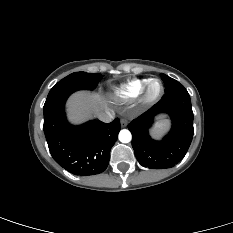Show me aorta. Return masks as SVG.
<instances>
[{
	"mask_svg": "<svg viewBox=\"0 0 233 233\" xmlns=\"http://www.w3.org/2000/svg\"><path fill=\"white\" fill-rule=\"evenodd\" d=\"M120 142L122 143H129L132 139V135L131 132L127 129H123L119 132V136H118Z\"/></svg>",
	"mask_w": 233,
	"mask_h": 233,
	"instance_id": "762f6f07",
	"label": "aorta"
}]
</instances>
